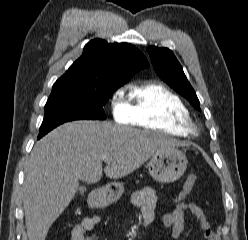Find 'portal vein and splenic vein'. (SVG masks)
<instances>
[{
	"mask_svg": "<svg viewBox=\"0 0 248 240\" xmlns=\"http://www.w3.org/2000/svg\"><path fill=\"white\" fill-rule=\"evenodd\" d=\"M104 161L107 162V163H110L111 162L110 159H105Z\"/></svg>",
	"mask_w": 248,
	"mask_h": 240,
	"instance_id": "portal-vein-and-splenic-vein-1",
	"label": "portal vein and splenic vein"
}]
</instances>
